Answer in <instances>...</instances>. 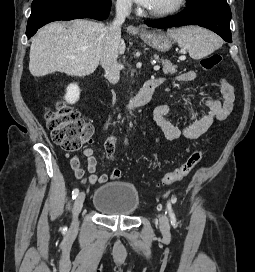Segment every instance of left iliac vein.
<instances>
[{
	"label": "left iliac vein",
	"mask_w": 255,
	"mask_h": 272,
	"mask_svg": "<svg viewBox=\"0 0 255 272\" xmlns=\"http://www.w3.org/2000/svg\"><path fill=\"white\" fill-rule=\"evenodd\" d=\"M160 230L165 236L170 235V226H169V221L166 215L162 214L160 216Z\"/></svg>",
	"instance_id": "obj_1"
}]
</instances>
